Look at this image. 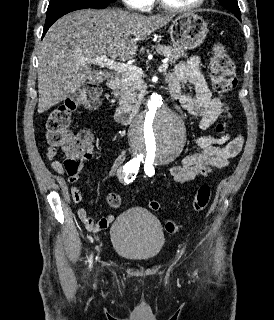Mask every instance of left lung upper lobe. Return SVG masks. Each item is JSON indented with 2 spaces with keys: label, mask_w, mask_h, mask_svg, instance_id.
Segmentation results:
<instances>
[{
  "label": "left lung upper lobe",
  "mask_w": 274,
  "mask_h": 320,
  "mask_svg": "<svg viewBox=\"0 0 274 320\" xmlns=\"http://www.w3.org/2000/svg\"><path fill=\"white\" fill-rule=\"evenodd\" d=\"M218 1L224 8L230 10L233 14L241 13L237 0H218Z\"/></svg>",
  "instance_id": "5c2ea615"
}]
</instances>
